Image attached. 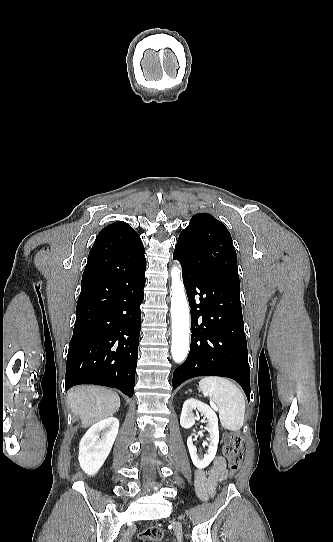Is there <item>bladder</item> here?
I'll return each instance as SVG.
<instances>
[{"instance_id": "31cf9c89", "label": "bladder", "mask_w": 333, "mask_h": 542, "mask_svg": "<svg viewBox=\"0 0 333 542\" xmlns=\"http://www.w3.org/2000/svg\"><path fill=\"white\" fill-rule=\"evenodd\" d=\"M148 542H161L160 540H155V541H148Z\"/></svg>"}]
</instances>
